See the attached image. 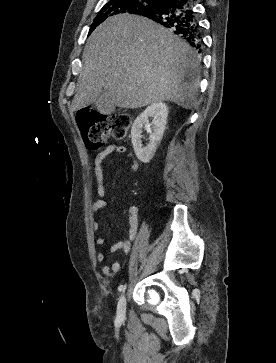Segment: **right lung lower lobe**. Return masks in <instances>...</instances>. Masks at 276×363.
Segmentation results:
<instances>
[{"label": "right lung lower lobe", "instance_id": "1", "mask_svg": "<svg viewBox=\"0 0 276 363\" xmlns=\"http://www.w3.org/2000/svg\"><path fill=\"white\" fill-rule=\"evenodd\" d=\"M137 15L161 24L201 51L200 28L191 0H160Z\"/></svg>", "mask_w": 276, "mask_h": 363}]
</instances>
